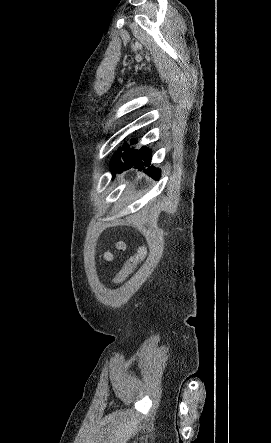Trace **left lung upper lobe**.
Wrapping results in <instances>:
<instances>
[{
	"mask_svg": "<svg viewBox=\"0 0 271 443\" xmlns=\"http://www.w3.org/2000/svg\"><path fill=\"white\" fill-rule=\"evenodd\" d=\"M116 155H117V153L113 156V158H112V160H111V167H112V165H113V163H114V160H115Z\"/></svg>",
	"mask_w": 271,
	"mask_h": 443,
	"instance_id": "5c2ea615",
	"label": "left lung upper lobe"
}]
</instances>
